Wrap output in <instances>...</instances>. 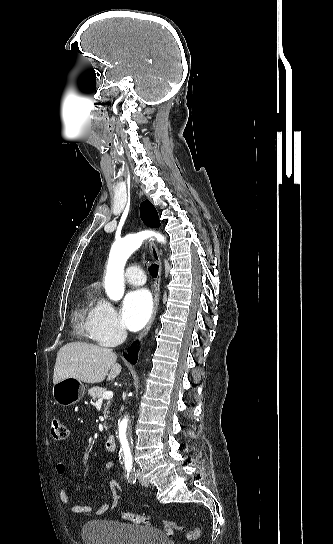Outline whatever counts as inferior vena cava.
Wrapping results in <instances>:
<instances>
[{
	"label": "inferior vena cava",
	"instance_id": "1",
	"mask_svg": "<svg viewBox=\"0 0 333 544\" xmlns=\"http://www.w3.org/2000/svg\"><path fill=\"white\" fill-rule=\"evenodd\" d=\"M126 337H127V333H126L125 330L122 329V330L119 332V341H121V342L124 341V340L126 339Z\"/></svg>",
	"mask_w": 333,
	"mask_h": 544
}]
</instances>
